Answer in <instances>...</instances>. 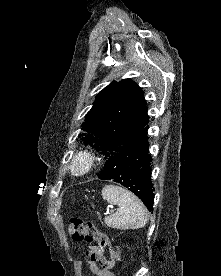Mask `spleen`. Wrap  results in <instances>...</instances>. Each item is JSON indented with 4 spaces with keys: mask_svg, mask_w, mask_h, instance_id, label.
<instances>
[{
    "mask_svg": "<svg viewBox=\"0 0 221 276\" xmlns=\"http://www.w3.org/2000/svg\"><path fill=\"white\" fill-rule=\"evenodd\" d=\"M102 197L109 204L118 205V210L104 218L105 224L113 229H140L148 220L143 203L130 191L116 186L106 185L102 189Z\"/></svg>",
    "mask_w": 221,
    "mask_h": 276,
    "instance_id": "1",
    "label": "spleen"
}]
</instances>
